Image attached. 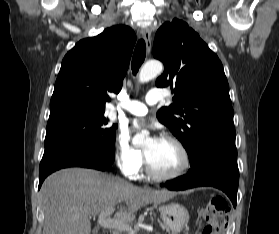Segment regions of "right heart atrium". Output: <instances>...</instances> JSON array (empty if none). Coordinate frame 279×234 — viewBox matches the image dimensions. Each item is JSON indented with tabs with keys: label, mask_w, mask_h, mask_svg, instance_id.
I'll list each match as a JSON object with an SVG mask.
<instances>
[{
	"label": "right heart atrium",
	"mask_w": 279,
	"mask_h": 234,
	"mask_svg": "<svg viewBox=\"0 0 279 234\" xmlns=\"http://www.w3.org/2000/svg\"><path fill=\"white\" fill-rule=\"evenodd\" d=\"M114 159L122 173L134 176L144 163L143 152L131 144L127 134L120 132L114 142Z\"/></svg>",
	"instance_id": "right-heart-atrium-1"
}]
</instances>
